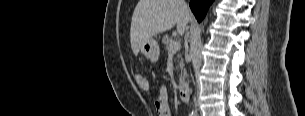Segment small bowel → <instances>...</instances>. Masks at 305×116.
I'll use <instances>...</instances> for the list:
<instances>
[{
	"label": "small bowel",
	"mask_w": 305,
	"mask_h": 116,
	"mask_svg": "<svg viewBox=\"0 0 305 116\" xmlns=\"http://www.w3.org/2000/svg\"><path fill=\"white\" fill-rule=\"evenodd\" d=\"M155 107L158 116H171V110L166 98L165 88L161 85L157 90V97L155 100Z\"/></svg>",
	"instance_id": "c3829d8e"
}]
</instances>
